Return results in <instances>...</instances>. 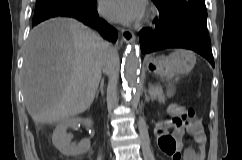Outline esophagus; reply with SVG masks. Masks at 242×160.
<instances>
[{
    "label": "esophagus",
    "instance_id": "34e87169",
    "mask_svg": "<svg viewBox=\"0 0 242 160\" xmlns=\"http://www.w3.org/2000/svg\"><path fill=\"white\" fill-rule=\"evenodd\" d=\"M121 36H122V39L124 40V42H126V43L132 42L135 38L134 33L127 29L121 30Z\"/></svg>",
    "mask_w": 242,
    "mask_h": 160
}]
</instances>
